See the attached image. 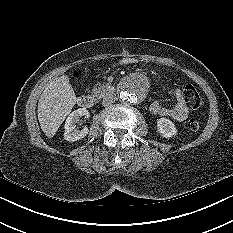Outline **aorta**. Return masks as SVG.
<instances>
[{"label":"aorta","instance_id":"762f6f07","mask_svg":"<svg viewBox=\"0 0 233 233\" xmlns=\"http://www.w3.org/2000/svg\"><path fill=\"white\" fill-rule=\"evenodd\" d=\"M147 94V85L141 78L130 77L126 79L119 90V98L125 104L141 102Z\"/></svg>","mask_w":233,"mask_h":233}]
</instances>
